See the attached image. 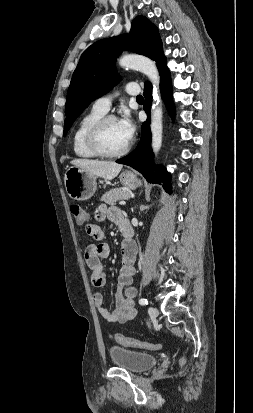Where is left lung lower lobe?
I'll return each mask as SVG.
<instances>
[{
  "mask_svg": "<svg viewBox=\"0 0 253 413\" xmlns=\"http://www.w3.org/2000/svg\"><path fill=\"white\" fill-rule=\"evenodd\" d=\"M161 82L160 89L162 97L165 100L167 108L171 113L174 111L173 99H172V85L170 72L167 68L166 59L158 67ZM144 97L145 102L143 109L148 115V119L143 123L141 130L140 142L132 153L118 159L116 162L125 164L136 169L146 178L150 183H164V188L167 192L171 193L169 186V173L161 166H155L153 163V154L150 146L151 132H150V109L152 103V86L150 82L144 84Z\"/></svg>",
  "mask_w": 253,
  "mask_h": 413,
  "instance_id": "obj_1",
  "label": "left lung lower lobe"
}]
</instances>
